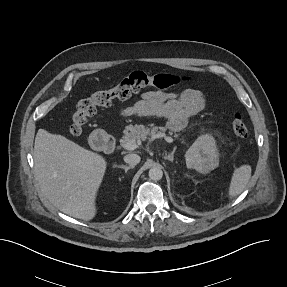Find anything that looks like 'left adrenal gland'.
Wrapping results in <instances>:
<instances>
[{"label": "left adrenal gland", "instance_id": "a2214340", "mask_svg": "<svg viewBox=\"0 0 287 287\" xmlns=\"http://www.w3.org/2000/svg\"><path fill=\"white\" fill-rule=\"evenodd\" d=\"M175 151H176V147H174L173 151L170 154L167 155V153H165L164 159L173 162Z\"/></svg>", "mask_w": 287, "mask_h": 287}]
</instances>
